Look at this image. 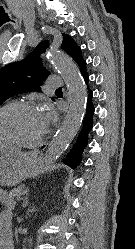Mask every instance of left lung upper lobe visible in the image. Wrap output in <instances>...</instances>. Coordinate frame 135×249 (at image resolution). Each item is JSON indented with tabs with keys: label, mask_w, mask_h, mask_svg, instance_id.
<instances>
[{
	"label": "left lung upper lobe",
	"mask_w": 135,
	"mask_h": 249,
	"mask_svg": "<svg viewBox=\"0 0 135 249\" xmlns=\"http://www.w3.org/2000/svg\"><path fill=\"white\" fill-rule=\"evenodd\" d=\"M62 49L70 55L80 69L86 64L80 47L73 38L62 33ZM48 41L40 42L23 60L8 64L0 69V105L13 95L37 89L49 72L43 67L40 54L45 52Z\"/></svg>",
	"instance_id": "5c2ea615"
}]
</instances>
